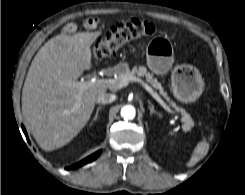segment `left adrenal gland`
<instances>
[{"instance_id": "a2214340", "label": "left adrenal gland", "mask_w": 245, "mask_h": 195, "mask_svg": "<svg viewBox=\"0 0 245 195\" xmlns=\"http://www.w3.org/2000/svg\"><path fill=\"white\" fill-rule=\"evenodd\" d=\"M149 110H150V115L152 114H157L158 116H160V113L157 112L154 107L151 105V103L149 102V106H148Z\"/></svg>"}]
</instances>
